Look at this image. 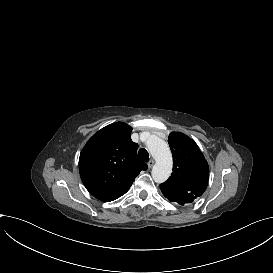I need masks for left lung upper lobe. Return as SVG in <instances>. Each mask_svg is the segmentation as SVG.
Masks as SVG:
<instances>
[{"label": "left lung upper lobe", "instance_id": "left-lung-upper-lobe-1", "mask_svg": "<svg viewBox=\"0 0 273 273\" xmlns=\"http://www.w3.org/2000/svg\"><path fill=\"white\" fill-rule=\"evenodd\" d=\"M168 143L173 155V172L160 185L164 196H201L208 184L209 166L197 144L187 135L172 132Z\"/></svg>", "mask_w": 273, "mask_h": 273}]
</instances>
